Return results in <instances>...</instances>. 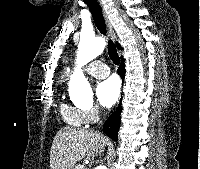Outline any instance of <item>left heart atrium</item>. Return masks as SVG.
Returning a JSON list of instances; mask_svg holds the SVG:
<instances>
[{
	"instance_id": "1",
	"label": "left heart atrium",
	"mask_w": 200,
	"mask_h": 169,
	"mask_svg": "<svg viewBox=\"0 0 200 169\" xmlns=\"http://www.w3.org/2000/svg\"><path fill=\"white\" fill-rule=\"evenodd\" d=\"M97 99L104 107L113 106L120 95V82L117 77H110L97 86L96 90Z\"/></svg>"
}]
</instances>
